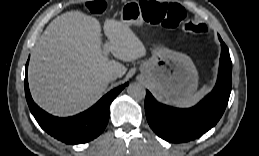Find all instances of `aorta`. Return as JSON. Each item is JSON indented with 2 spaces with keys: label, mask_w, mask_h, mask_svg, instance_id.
<instances>
[{
  "label": "aorta",
  "mask_w": 259,
  "mask_h": 156,
  "mask_svg": "<svg viewBox=\"0 0 259 156\" xmlns=\"http://www.w3.org/2000/svg\"><path fill=\"white\" fill-rule=\"evenodd\" d=\"M128 95L135 100H142L145 98V88L139 83H132L127 87Z\"/></svg>",
  "instance_id": "aorta-1"
}]
</instances>
